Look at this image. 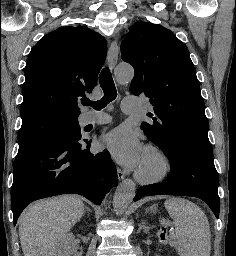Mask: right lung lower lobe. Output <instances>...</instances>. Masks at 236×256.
<instances>
[{
	"label": "right lung lower lobe",
	"mask_w": 236,
	"mask_h": 256,
	"mask_svg": "<svg viewBox=\"0 0 236 256\" xmlns=\"http://www.w3.org/2000/svg\"><path fill=\"white\" fill-rule=\"evenodd\" d=\"M91 141L59 137L18 152L11 188L14 225L29 203L54 195L75 193L101 204L118 184L117 170L107 150L90 153Z\"/></svg>",
	"instance_id": "right-lung-lower-lobe-1"
}]
</instances>
